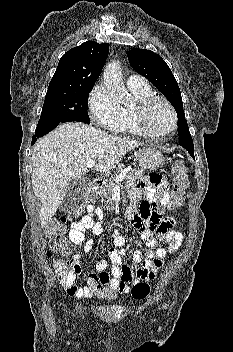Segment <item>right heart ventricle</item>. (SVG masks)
Returning <instances> with one entry per match:
<instances>
[{
    "label": "right heart ventricle",
    "instance_id": "e07e8e85",
    "mask_svg": "<svg viewBox=\"0 0 233 352\" xmlns=\"http://www.w3.org/2000/svg\"><path fill=\"white\" fill-rule=\"evenodd\" d=\"M128 88L135 97L136 103L148 96L153 95L150 86L147 84L141 86H128ZM134 106L121 107V124L119 132L142 135L135 123Z\"/></svg>",
    "mask_w": 233,
    "mask_h": 352
}]
</instances>
